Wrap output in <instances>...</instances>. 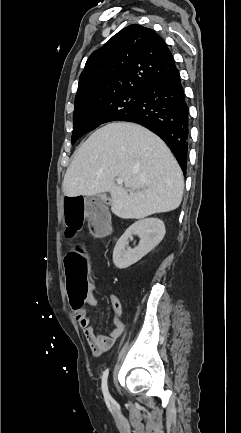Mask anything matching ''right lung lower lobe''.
<instances>
[{
	"label": "right lung lower lobe",
	"mask_w": 241,
	"mask_h": 433,
	"mask_svg": "<svg viewBox=\"0 0 241 433\" xmlns=\"http://www.w3.org/2000/svg\"><path fill=\"white\" fill-rule=\"evenodd\" d=\"M120 121L138 123L166 142L182 170L186 171L189 143V109L176 68L142 90L140 104Z\"/></svg>",
	"instance_id": "right-lung-lower-lobe-1"
}]
</instances>
